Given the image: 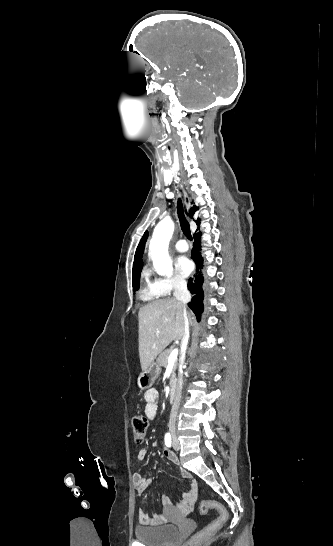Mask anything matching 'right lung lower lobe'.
<instances>
[{
    "label": "right lung lower lobe",
    "instance_id": "obj_1",
    "mask_svg": "<svg viewBox=\"0 0 333 546\" xmlns=\"http://www.w3.org/2000/svg\"><path fill=\"white\" fill-rule=\"evenodd\" d=\"M195 243L192 249V259L195 261L197 265V271L198 275L195 277L194 284H191L192 279H189L188 283V289L190 290L191 294L194 296L192 297L191 301L188 303V306L192 309V311L195 313L197 319H200V314L203 312V290H202V283H203V277L200 273V270L202 268L203 259L200 256L199 250L200 246L199 243H196L200 239V232L194 235Z\"/></svg>",
    "mask_w": 333,
    "mask_h": 546
}]
</instances>
